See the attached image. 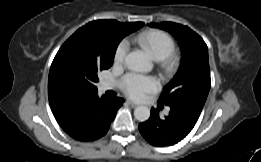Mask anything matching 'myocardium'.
<instances>
[{
  "mask_svg": "<svg viewBox=\"0 0 261 162\" xmlns=\"http://www.w3.org/2000/svg\"><path fill=\"white\" fill-rule=\"evenodd\" d=\"M164 66H165L166 68H168V69L173 68V67L175 66V61H174V59L171 58V57L168 58V59L166 60L165 64H164Z\"/></svg>",
  "mask_w": 261,
  "mask_h": 162,
  "instance_id": "obj_1",
  "label": "myocardium"
}]
</instances>
